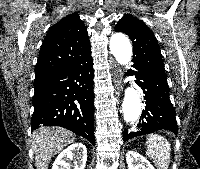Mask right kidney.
Instances as JSON below:
<instances>
[{
  "instance_id": "obj_1",
  "label": "right kidney",
  "mask_w": 200,
  "mask_h": 169,
  "mask_svg": "<svg viewBox=\"0 0 200 169\" xmlns=\"http://www.w3.org/2000/svg\"><path fill=\"white\" fill-rule=\"evenodd\" d=\"M74 161V169H84L87 161V149L82 143H74L63 150L55 159L52 169H71L70 160Z\"/></svg>"
}]
</instances>
